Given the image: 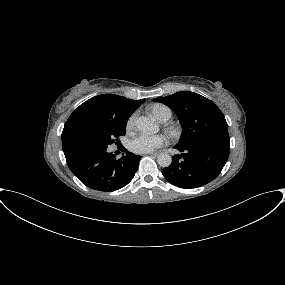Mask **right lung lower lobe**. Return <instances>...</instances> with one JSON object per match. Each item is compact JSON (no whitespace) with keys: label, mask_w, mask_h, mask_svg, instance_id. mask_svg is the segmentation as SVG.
<instances>
[{"label":"right lung lower lobe","mask_w":285,"mask_h":285,"mask_svg":"<svg viewBox=\"0 0 285 285\" xmlns=\"http://www.w3.org/2000/svg\"><path fill=\"white\" fill-rule=\"evenodd\" d=\"M71 172L87 187L111 192L126 186L134 177L141 156L126 152L116 159L107 148L82 146L65 154Z\"/></svg>","instance_id":"right-lung-lower-lobe-1"}]
</instances>
